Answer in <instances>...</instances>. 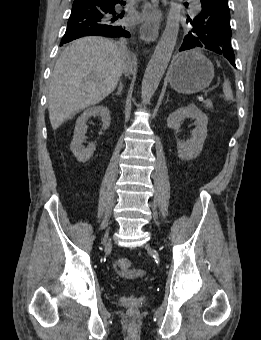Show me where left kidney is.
<instances>
[{
  "instance_id": "obj_1",
  "label": "left kidney",
  "mask_w": 261,
  "mask_h": 340,
  "mask_svg": "<svg viewBox=\"0 0 261 340\" xmlns=\"http://www.w3.org/2000/svg\"><path fill=\"white\" fill-rule=\"evenodd\" d=\"M185 118L195 119L196 128L191 132L192 137L187 141H177V152L182 160H190L199 156L207 137V116L194 104L179 108L167 118V126L178 131L181 121Z\"/></svg>"
}]
</instances>
